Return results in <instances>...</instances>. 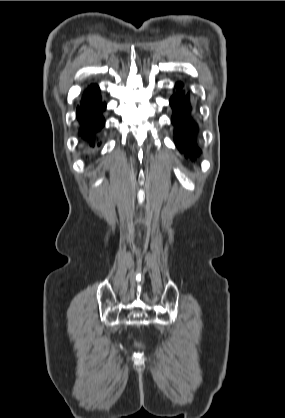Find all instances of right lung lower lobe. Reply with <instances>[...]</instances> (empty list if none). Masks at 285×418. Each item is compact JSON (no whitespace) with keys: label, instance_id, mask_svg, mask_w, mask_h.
<instances>
[{"label":"right lung lower lobe","instance_id":"98d812e1","mask_svg":"<svg viewBox=\"0 0 285 418\" xmlns=\"http://www.w3.org/2000/svg\"><path fill=\"white\" fill-rule=\"evenodd\" d=\"M101 99L99 87L92 84L83 91L76 109L79 136L90 147H94L98 134L105 125L103 112L106 109V103ZM97 145L99 146L100 143Z\"/></svg>","mask_w":285,"mask_h":418}]
</instances>
